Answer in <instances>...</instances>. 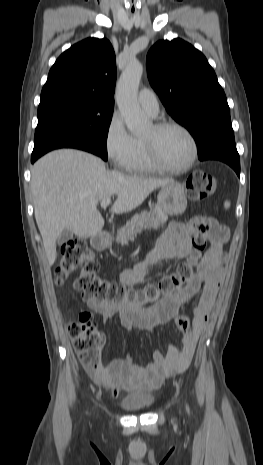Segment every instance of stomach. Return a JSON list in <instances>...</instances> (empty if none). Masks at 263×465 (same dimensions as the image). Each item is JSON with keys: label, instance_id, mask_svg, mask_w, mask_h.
I'll return each mask as SVG.
<instances>
[{"label": "stomach", "instance_id": "stomach-1", "mask_svg": "<svg viewBox=\"0 0 263 465\" xmlns=\"http://www.w3.org/2000/svg\"><path fill=\"white\" fill-rule=\"evenodd\" d=\"M157 202L160 208L168 215H181L187 208V198L184 187L173 182L161 188L159 191ZM103 245H108V240L101 242Z\"/></svg>", "mask_w": 263, "mask_h": 465}]
</instances>
